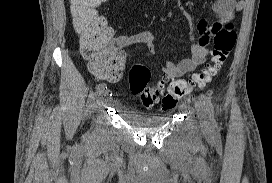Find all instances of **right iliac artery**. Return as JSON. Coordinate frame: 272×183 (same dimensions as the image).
<instances>
[{
  "mask_svg": "<svg viewBox=\"0 0 272 183\" xmlns=\"http://www.w3.org/2000/svg\"><path fill=\"white\" fill-rule=\"evenodd\" d=\"M106 84L105 83H100L99 85L96 86V93H101L105 90Z\"/></svg>",
  "mask_w": 272,
  "mask_h": 183,
  "instance_id": "obj_1",
  "label": "right iliac artery"
}]
</instances>
